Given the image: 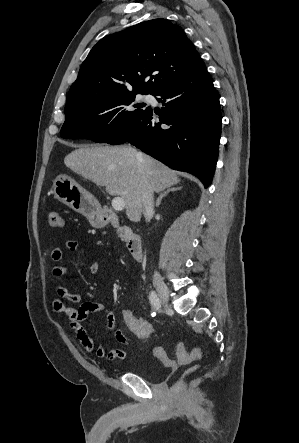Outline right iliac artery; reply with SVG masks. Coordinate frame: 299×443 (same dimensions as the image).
Masks as SVG:
<instances>
[{"label":"right iliac artery","instance_id":"82829eb1","mask_svg":"<svg viewBox=\"0 0 299 443\" xmlns=\"http://www.w3.org/2000/svg\"><path fill=\"white\" fill-rule=\"evenodd\" d=\"M150 302L156 310H159L161 307V302L155 291H151L149 296Z\"/></svg>","mask_w":299,"mask_h":443}]
</instances>
